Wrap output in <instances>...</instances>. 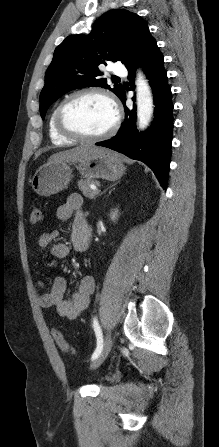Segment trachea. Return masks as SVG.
<instances>
[{"mask_svg":"<svg viewBox=\"0 0 219 447\" xmlns=\"http://www.w3.org/2000/svg\"><path fill=\"white\" fill-rule=\"evenodd\" d=\"M113 79H119L118 77H115V78H113Z\"/></svg>","mask_w":219,"mask_h":447,"instance_id":"obj_1","label":"trachea"}]
</instances>
